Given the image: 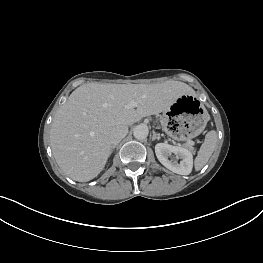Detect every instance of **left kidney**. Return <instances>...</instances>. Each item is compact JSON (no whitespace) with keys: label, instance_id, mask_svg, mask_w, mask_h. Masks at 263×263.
I'll return each instance as SVG.
<instances>
[{"label":"left kidney","instance_id":"obj_1","mask_svg":"<svg viewBox=\"0 0 263 263\" xmlns=\"http://www.w3.org/2000/svg\"><path fill=\"white\" fill-rule=\"evenodd\" d=\"M155 153L162 165L174 173L189 175L193 167V155L191 151L181 146H173L167 143H158ZM178 159H181L178 163Z\"/></svg>","mask_w":263,"mask_h":263}]
</instances>
